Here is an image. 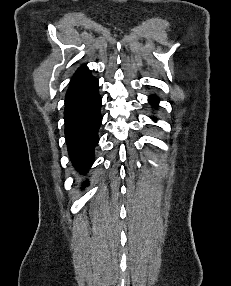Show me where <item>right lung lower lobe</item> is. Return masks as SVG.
Returning <instances> with one entry per match:
<instances>
[{"label": "right lung lower lobe", "mask_w": 231, "mask_h": 286, "mask_svg": "<svg viewBox=\"0 0 231 286\" xmlns=\"http://www.w3.org/2000/svg\"><path fill=\"white\" fill-rule=\"evenodd\" d=\"M101 104L98 80L90 71L74 75L65 97V135L72 164L81 173L87 172L94 161L102 123Z\"/></svg>", "instance_id": "right-lung-lower-lobe-1"}]
</instances>
